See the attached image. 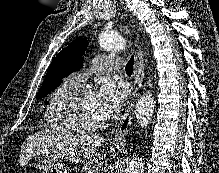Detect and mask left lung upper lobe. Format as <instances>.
Returning a JSON list of instances; mask_svg holds the SVG:
<instances>
[{"mask_svg":"<svg viewBox=\"0 0 219 173\" xmlns=\"http://www.w3.org/2000/svg\"><path fill=\"white\" fill-rule=\"evenodd\" d=\"M87 45L88 41L86 39H76L54 57L47 70L37 99L45 97L61 84L66 75L79 70L83 66L82 56Z\"/></svg>","mask_w":219,"mask_h":173,"instance_id":"obj_1","label":"left lung upper lobe"}]
</instances>
